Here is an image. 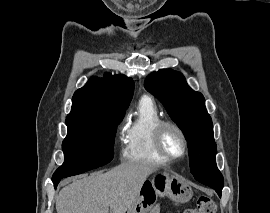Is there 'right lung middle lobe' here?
<instances>
[{"label":"right lung middle lobe","instance_id":"1","mask_svg":"<svg viewBox=\"0 0 270 213\" xmlns=\"http://www.w3.org/2000/svg\"><path fill=\"white\" fill-rule=\"evenodd\" d=\"M124 113L107 118L66 119L68 134L62 143L64 163L52 181L103 166L113 159L116 126Z\"/></svg>","mask_w":270,"mask_h":213}]
</instances>
